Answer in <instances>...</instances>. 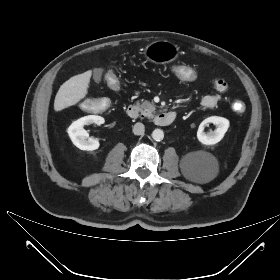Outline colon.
Segmentation results:
<instances>
[{"mask_svg": "<svg viewBox=\"0 0 280 280\" xmlns=\"http://www.w3.org/2000/svg\"><path fill=\"white\" fill-rule=\"evenodd\" d=\"M166 73L174 78L188 83H195L200 78V73L197 69L179 64L178 62L171 61L166 64ZM121 70L118 65L112 64L104 69L103 75L106 83L111 89L117 90L119 86L118 77ZM107 106V102L103 99H94L84 102V107L87 110L99 112ZM233 110L236 113H243L245 111L244 103L236 101L232 105Z\"/></svg>", "mask_w": 280, "mask_h": 280, "instance_id": "obj_1", "label": "colon"}]
</instances>
